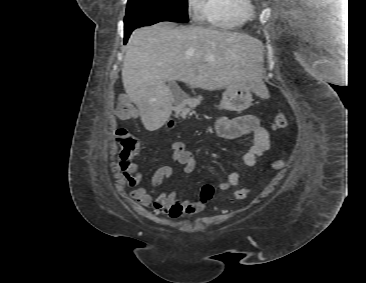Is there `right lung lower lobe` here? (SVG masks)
Returning a JSON list of instances; mask_svg holds the SVG:
<instances>
[{
  "label": "right lung lower lobe",
  "mask_w": 366,
  "mask_h": 283,
  "mask_svg": "<svg viewBox=\"0 0 366 283\" xmlns=\"http://www.w3.org/2000/svg\"><path fill=\"white\" fill-rule=\"evenodd\" d=\"M134 29H127L125 30V35H124V43L127 42V39L128 37L130 36L131 32L133 31Z\"/></svg>",
  "instance_id": "98d812e1"
}]
</instances>
